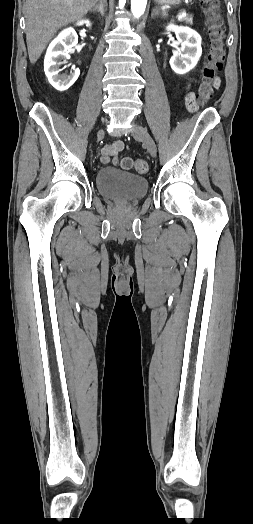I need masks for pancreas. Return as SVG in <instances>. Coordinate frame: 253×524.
Wrapping results in <instances>:
<instances>
[{
    "mask_svg": "<svg viewBox=\"0 0 253 524\" xmlns=\"http://www.w3.org/2000/svg\"><path fill=\"white\" fill-rule=\"evenodd\" d=\"M183 20H184L187 24H190V25H192V23H193V17H192V16H187V17L183 18Z\"/></svg>",
    "mask_w": 253,
    "mask_h": 524,
    "instance_id": "1",
    "label": "pancreas"
}]
</instances>
